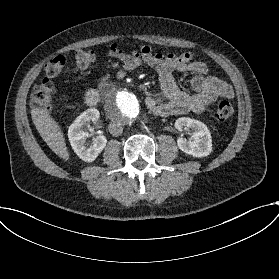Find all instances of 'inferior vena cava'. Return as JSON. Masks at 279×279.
<instances>
[{
  "label": "inferior vena cava",
  "mask_w": 279,
  "mask_h": 279,
  "mask_svg": "<svg viewBox=\"0 0 279 279\" xmlns=\"http://www.w3.org/2000/svg\"><path fill=\"white\" fill-rule=\"evenodd\" d=\"M108 130L113 136H119L123 133V127L121 124L112 122L108 125Z\"/></svg>",
  "instance_id": "obj_1"
}]
</instances>
